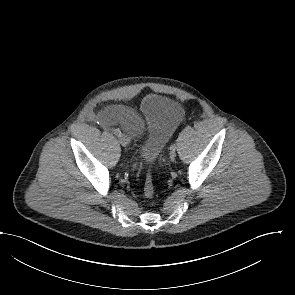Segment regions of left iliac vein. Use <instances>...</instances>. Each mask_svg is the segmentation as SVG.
<instances>
[{"instance_id":"1","label":"left iliac vein","mask_w":295,"mask_h":295,"mask_svg":"<svg viewBox=\"0 0 295 295\" xmlns=\"http://www.w3.org/2000/svg\"><path fill=\"white\" fill-rule=\"evenodd\" d=\"M169 157L171 161H174L176 158V151L175 150H171L169 153Z\"/></svg>"}]
</instances>
